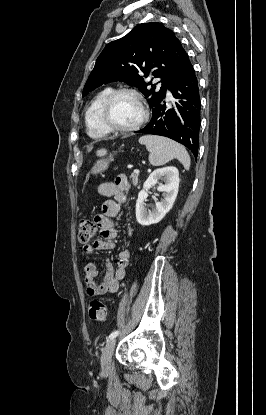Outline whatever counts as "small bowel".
<instances>
[{
  "mask_svg": "<svg viewBox=\"0 0 266 415\" xmlns=\"http://www.w3.org/2000/svg\"><path fill=\"white\" fill-rule=\"evenodd\" d=\"M130 190L128 178L118 175L113 181L99 185L98 194L113 199L106 200L102 205V213L95 216L94 221L100 229L101 239L92 244L83 246L85 254H92L95 250H112L115 248L113 239L118 236V223L115 218L119 215L121 207L127 202V194ZM128 235L132 234V228L127 227ZM130 254L123 250L118 254L117 266L114 267L110 260L105 261V275L101 283H96L98 274L97 266L88 262L84 266V282L89 296H100L107 293H115L119 288V282L125 277L126 267L129 264Z\"/></svg>",
  "mask_w": 266,
  "mask_h": 415,
  "instance_id": "c3829d8e",
  "label": "small bowel"
}]
</instances>
